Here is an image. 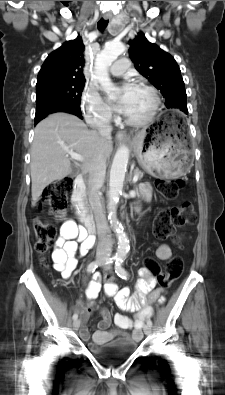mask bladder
<instances>
[{
    "mask_svg": "<svg viewBox=\"0 0 225 395\" xmlns=\"http://www.w3.org/2000/svg\"><path fill=\"white\" fill-rule=\"evenodd\" d=\"M138 343L129 338H117L104 345H91V353L100 361L111 362L133 354Z\"/></svg>",
    "mask_w": 225,
    "mask_h": 395,
    "instance_id": "31cf9c89",
    "label": "bladder"
}]
</instances>
